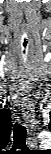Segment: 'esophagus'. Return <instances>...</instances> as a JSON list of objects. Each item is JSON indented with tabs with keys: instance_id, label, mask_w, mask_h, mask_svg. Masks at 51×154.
<instances>
[{
	"instance_id": "obj_1",
	"label": "esophagus",
	"mask_w": 51,
	"mask_h": 154,
	"mask_svg": "<svg viewBox=\"0 0 51 154\" xmlns=\"http://www.w3.org/2000/svg\"><path fill=\"white\" fill-rule=\"evenodd\" d=\"M23 118L26 120L27 123L30 122V114H29V111H28V108H24L23 109ZM28 138H27V144L29 146H34L36 145V139L34 137V134L31 133V129L29 127V124H28Z\"/></svg>"
}]
</instances>
